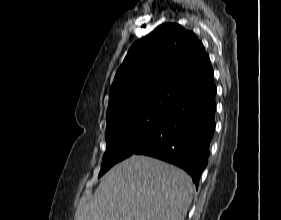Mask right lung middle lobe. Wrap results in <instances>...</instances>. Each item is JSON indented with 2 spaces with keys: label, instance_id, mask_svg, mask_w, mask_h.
Instances as JSON below:
<instances>
[{
  "label": "right lung middle lobe",
  "instance_id": "obj_1",
  "mask_svg": "<svg viewBox=\"0 0 281 220\" xmlns=\"http://www.w3.org/2000/svg\"><path fill=\"white\" fill-rule=\"evenodd\" d=\"M167 115L166 112L132 114L107 124V148L98 177L146 143L162 126Z\"/></svg>",
  "mask_w": 281,
  "mask_h": 220
}]
</instances>
